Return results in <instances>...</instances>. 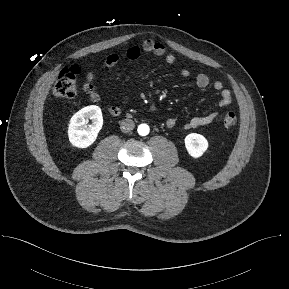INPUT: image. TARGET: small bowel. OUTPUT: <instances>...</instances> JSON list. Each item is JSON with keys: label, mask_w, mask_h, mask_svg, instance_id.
I'll list each match as a JSON object with an SVG mask.
<instances>
[{"label": "small bowel", "mask_w": 289, "mask_h": 289, "mask_svg": "<svg viewBox=\"0 0 289 289\" xmlns=\"http://www.w3.org/2000/svg\"><path fill=\"white\" fill-rule=\"evenodd\" d=\"M141 53H150L155 56L162 57L165 63L168 65H172L176 61V57L173 54L168 53L166 51L165 46L162 43L154 41L152 39H147L143 41L141 46H131L126 50L125 56L130 60H136L140 57ZM119 60H120L119 54L111 53L106 57L105 65L107 67H113L119 62ZM180 74L183 77L187 78L191 75V71L188 68H182ZM95 77L96 74L94 71H90L87 73L85 82L83 84V90L89 96L91 101L97 103L100 101L101 98L99 93L96 91L94 83ZM195 84L197 85V87L201 89L212 86L216 91H218L220 96L218 105L220 107H226L232 103L231 92L228 89L224 88V85L221 81L211 82L209 76L206 73L203 72L197 73L195 75ZM125 104L126 100L122 101L119 104L108 105L107 110L111 115L117 116L121 114ZM218 116L219 113L217 111H212L203 116H196L187 121L183 125V127L185 129H195L202 126H206L212 123L215 119H217ZM166 125L168 128L174 129L177 127L178 123L175 119L171 118L167 120Z\"/></svg>", "instance_id": "c3829d8e"}]
</instances>
